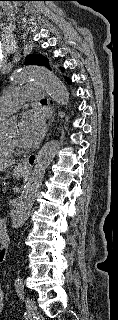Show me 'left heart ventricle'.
<instances>
[{"instance_id":"left-heart-ventricle-1","label":"left heart ventricle","mask_w":118,"mask_h":320,"mask_svg":"<svg viewBox=\"0 0 118 320\" xmlns=\"http://www.w3.org/2000/svg\"><path fill=\"white\" fill-rule=\"evenodd\" d=\"M5 135L7 137L12 138V139H17V137H18V128H17V126H15V127L11 128L10 130H8L5 133Z\"/></svg>"}]
</instances>
